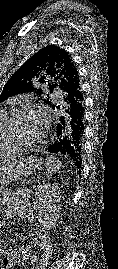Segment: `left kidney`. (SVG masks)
Here are the masks:
<instances>
[{"instance_id":"left-kidney-1","label":"left kidney","mask_w":118,"mask_h":269,"mask_svg":"<svg viewBox=\"0 0 118 269\" xmlns=\"http://www.w3.org/2000/svg\"><path fill=\"white\" fill-rule=\"evenodd\" d=\"M61 191L57 183L39 184L33 199V210L40 225L52 230L60 218Z\"/></svg>"}]
</instances>
